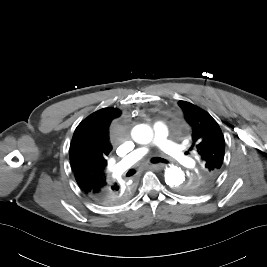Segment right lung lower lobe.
<instances>
[{"mask_svg": "<svg viewBox=\"0 0 267 267\" xmlns=\"http://www.w3.org/2000/svg\"><path fill=\"white\" fill-rule=\"evenodd\" d=\"M132 189L130 186L126 188L119 184L110 185L99 193L87 195L93 201L104 206H115L124 203L131 196Z\"/></svg>", "mask_w": 267, "mask_h": 267, "instance_id": "98d812e1", "label": "right lung lower lobe"}]
</instances>
